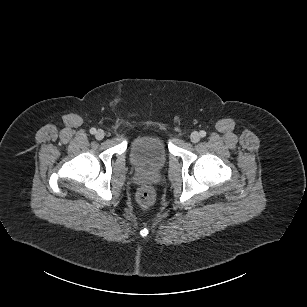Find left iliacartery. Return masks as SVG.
I'll return each mask as SVG.
<instances>
[{
    "mask_svg": "<svg viewBox=\"0 0 307 307\" xmlns=\"http://www.w3.org/2000/svg\"><path fill=\"white\" fill-rule=\"evenodd\" d=\"M200 136H201V137H205V136H206V132H205L204 130H201V131H200Z\"/></svg>",
    "mask_w": 307,
    "mask_h": 307,
    "instance_id": "obj_1",
    "label": "left iliac artery"
}]
</instances>
